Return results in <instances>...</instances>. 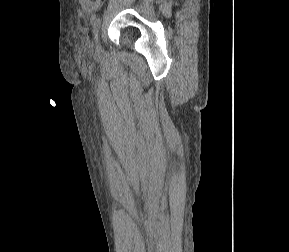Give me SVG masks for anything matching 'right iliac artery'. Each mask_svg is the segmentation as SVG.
Returning <instances> with one entry per match:
<instances>
[{"label":"right iliac artery","mask_w":289,"mask_h":252,"mask_svg":"<svg viewBox=\"0 0 289 252\" xmlns=\"http://www.w3.org/2000/svg\"><path fill=\"white\" fill-rule=\"evenodd\" d=\"M92 20H93V34H94L95 39H97L101 21H100V18H95V17H93Z\"/></svg>","instance_id":"right-iliac-artery-1"}]
</instances>
